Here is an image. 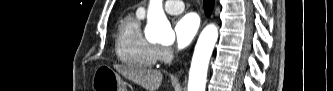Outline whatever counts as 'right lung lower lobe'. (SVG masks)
Listing matches in <instances>:
<instances>
[{"label": "right lung lower lobe", "mask_w": 333, "mask_h": 91, "mask_svg": "<svg viewBox=\"0 0 333 91\" xmlns=\"http://www.w3.org/2000/svg\"><path fill=\"white\" fill-rule=\"evenodd\" d=\"M214 0H204V9L207 15H209L213 9Z\"/></svg>", "instance_id": "98d812e1"}]
</instances>
